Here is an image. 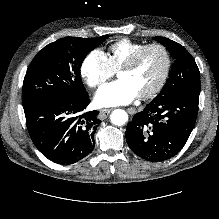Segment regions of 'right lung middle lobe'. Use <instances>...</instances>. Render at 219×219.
Returning <instances> with one entry per match:
<instances>
[{
	"label": "right lung middle lobe",
	"mask_w": 219,
	"mask_h": 219,
	"mask_svg": "<svg viewBox=\"0 0 219 219\" xmlns=\"http://www.w3.org/2000/svg\"><path fill=\"white\" fill-rule=\"evenodd\" d=\"M108 37H65L44 47L26 72L22 87L23 106L56 95L86 97L88 94L80 77L82 62Z\"/></svg>",
	"instance_id": "1"
}]
</instances>
